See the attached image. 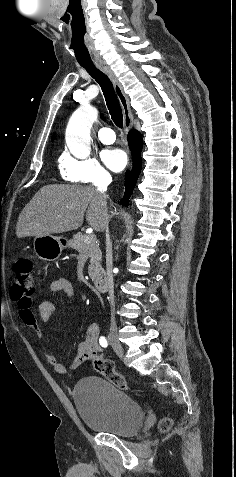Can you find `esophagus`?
<instances>
[{
	"instance_id": "1",
	"label": "esophagus",
	"mask_w": 236,
	"mask_h": 477,
	"mask_svg": "<svg viewBox=\"0 0 236 477\" xmlns=\"http://www.w3.org/2000/svg\"><path fill=\"white\" fill-rule=\"evenodd\" d=\"M97 67L102 72H104L113 83L116 96L122 108V112L124 116V126L126 131L128 132L132 128V116H131V110L129 105V99L127 95L124 93L121 83L119 82L118 78L116 77L114 72L111 70V68L105 64H97Z\"/></svg>"
}]
</instances>
